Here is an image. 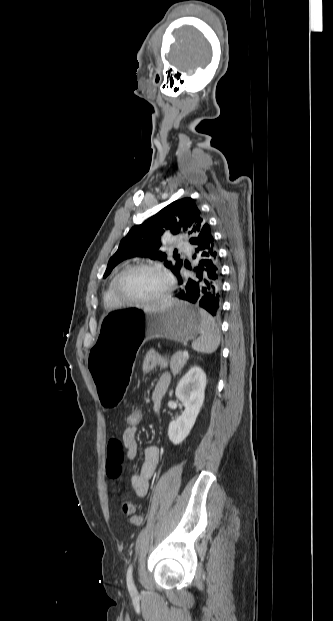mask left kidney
Listing matches in <instances>:
<instances>
[{
    "label": "left kidney",
    "mask_w": 333,
    "mask_h": 621,
    "mask_svg": "<svg viewBox=\"0 0 333 621\" xmlns=\"http://www.w3.org/2000/svg\"><path fill=\"white\" fill-rule=\"evenodd\" d=\"M205 388L206 374L198 366L192 367L179 381L175 395L185 410L169 424L168 436L173 444H180L189 435L203 405Z\"/></svg>",
    "instance_id": "obj_1"
}]
</instances>
